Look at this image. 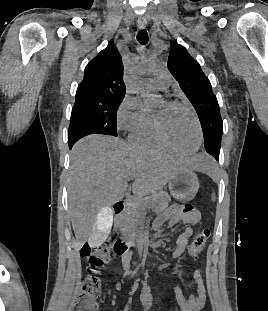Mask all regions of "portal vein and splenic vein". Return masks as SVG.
<instances>
[{"mask_svg": "<svg viewBox=\"0 0 268 311\" xmlns=\"http://www.w3.org/2000/svg\"><path fill=\"white\" fill-rule=\"evenodd\" d=\"M132 180H134V178H133V177L128 178V181H132Z\"/></svg>", "mask_w": 268, "mask_h": 311, "instance_id": "portal-vein-and-splenic-vein-1", "label": "portal vein and splenic vein"}]
</instances>
